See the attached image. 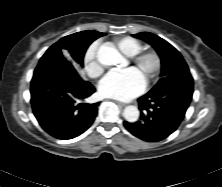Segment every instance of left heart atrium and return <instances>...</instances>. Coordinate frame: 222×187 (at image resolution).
I'll return each mask as SVG.
<instances>
[{
    "instance_id": "39dd6f15",
    "label": "left heart atrium",
    "mask_w": 222,
    "mask_h": 187,
    "mask_svg": "<svg viewBox=\"0 0 222 187\" xmlns=\"http://www.w3.org/2000/svg\"><path fill=\"white\" fill-rule=\"evenodd\" d=\"M146 80L135 67L109 72L99 85V92L106 98L128 101L139 95Z\"/></svg>"
}]
</instances>
